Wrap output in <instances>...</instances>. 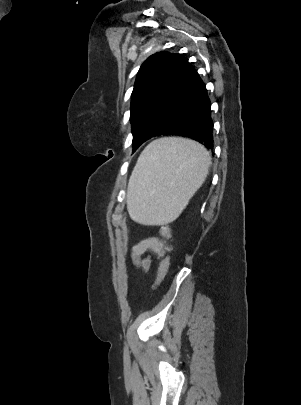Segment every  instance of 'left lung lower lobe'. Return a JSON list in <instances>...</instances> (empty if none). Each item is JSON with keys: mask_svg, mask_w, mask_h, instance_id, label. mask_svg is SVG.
I'll return each mask as SVG.
<instances>
[{"mask_svg": "<svg viewBox=\"0 0 301 405\" xmlns=\"http://www.w3.org/2000/svg\"><path fill=\"white\" fill-rule=\"evenodd\" d=\"M213 122L206 86L193 68L189 81L166 117L152 134L133 144V152L145 141L156 136H182L213 149Z\"/></svg>", "mask_w": 301, "mask_h": 405, "instance_id": "left-lung-lower-lobe-1", "label": "left lung lower lobe"}]
</instances>
